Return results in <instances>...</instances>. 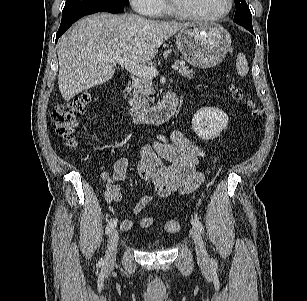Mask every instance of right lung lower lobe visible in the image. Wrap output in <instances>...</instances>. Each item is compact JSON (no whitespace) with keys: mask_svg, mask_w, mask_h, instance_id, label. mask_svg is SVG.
<instances>
[{"mask_svg":"<svg viewBox=\"0 0 307 301\" xmlns=\"http://www.w3.org/2000/svg\"><path fill=\"white\" fill-rule=\"evenodd\" d=\"M123 11H124L123 6L113 5V4H101V5L89 6L77 11L63 14L59 30L56 34V42L59 39V37L70 27L72 23H74L77 19L85 15L93 14L96 12L120 13Z\"/></svg>","mask_w":307,"mask_h":301,"instance_id":"1","label":"right lung lower lobe"}]
</instances>
